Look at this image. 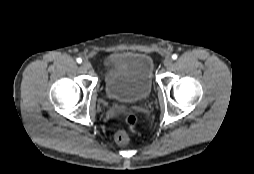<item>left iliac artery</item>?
<instances>
[{
	"label": "left iliac artery",
	"mask_w": 254,
	"mask_h": 174,
	"mask_svg": "<svg viewBox=\"0 0 254 174\" xmlns=\"http://www.w3.org/2000/svg\"><path fill=\"white\" fill-rule=\"evenodd\" d=\"M177 57H178L177 54H173V55H172V59H173V60H176Z\"/></svg>",
	"instance_id": "44dca946"
}]
</instances>
